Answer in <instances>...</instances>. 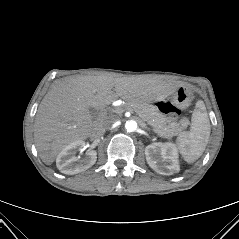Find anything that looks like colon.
<instances>
[{"label": "colon", "instance_id": "obj_1", "mask_svg": "<svg viewBox=\"0 0 239 239\" xmlns=\"http://www.w3.org/2000/svg\"><path fill=\"white\" fill-rule=\"evenodd\" d=\"M180 96L182 97V100L185 99V94L183 91H180ZM159 109L166 115H169L171 117H176L179 114L178 108H176L173 104L170 102H161L159 104Z\"/></svg>", "mask_w": 239, "mask_h": 239}]
</instances>
